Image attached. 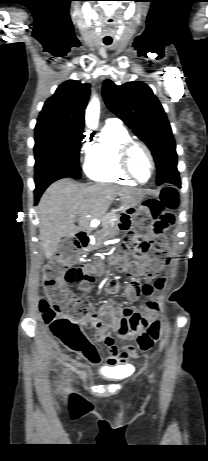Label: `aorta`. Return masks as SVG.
<instances>
[{"instance_id": "1", "label": "aorta", "mask_w": 208, "mask_h": 461, "mask_svg": "<svg viewBox=\"0 0 208 461\" xmlns=\"http://www.w3.org/2000/svg\"><path fill=\"white\" fill-rule=\"evenodd\" d=\"M100 116V101L93 97L89 102L85 112V123L89 129H97Z\"/></svg>"}]
</instances>
